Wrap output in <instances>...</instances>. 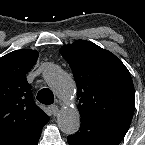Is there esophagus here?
Masks as SVG:
<instances>
[{"label": "esophagus", "instance_id": "1", "mask_svg": "<svg viewBox=\"0 0 145 145\" xmlns=\"http://www.w3.org/2000/svg\"><path fill=\"white\" fill-rule=\"evenodd\" d=\"M50 109H51L53 115H56L58 113V111H59L57 105H51Z\"/></svg>", "mask_w": 145, "mask_h": 145}]
</instances>
